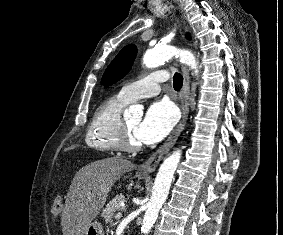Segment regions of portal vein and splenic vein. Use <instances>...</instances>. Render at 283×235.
Returning a JSON list of instances; mask_svg holds the SVG:
<instances>
[{
    "mask_svg": "<svg viewBox=\"0 0 283 235\" xmlns=\"http://www.w3.org/2000/svg\"><path fill=\"white\" fill-rule=\"evenodd\" d=\"M121 217H122V213L121 212L117 213L116 216H115V218H117V219H119Z\"/></svg>",
    "mask_w": 283,
    "mask_h": 235,
    "instance_id": "18ae733b",
    "label": "portal vein and splenic vein"
}]
</instances>
